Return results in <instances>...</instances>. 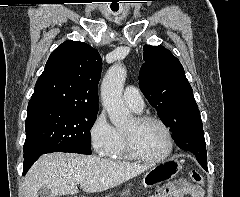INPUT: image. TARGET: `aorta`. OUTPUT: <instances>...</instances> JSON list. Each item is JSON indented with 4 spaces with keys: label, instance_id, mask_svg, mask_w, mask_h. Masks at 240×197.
<instances>
[{
    "label": "aorta",
    "instance_id": "762f6f07",
    "mask_svg": "<svg viewBox=\"0 0 240 197\" xmlns=\"http://www.w3.org/2000/svg\"><path fill=\"white\" fill-rule=\"evenodd\" d=\"M125 78V67L117 63L109 68L101 84L102 105L106 109L111 123L116 127H124L132 119L122 98Z\"/></svg>",
    "mask_w": 240,
    "mask_h": 197
}]
</instances>
